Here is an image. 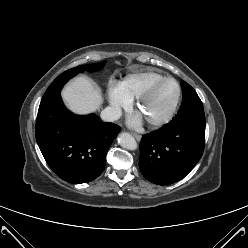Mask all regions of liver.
<instances>
[{
    "mask_svg": "<svg viewBox=\"0 0 248 248\" xmlns=\"http://www.w3.org/2000/svg\"><path fill=\"white\" fill-rule=\"evenodd\" d=\"M62 97L67 107L77 114H87L99 109L102 103L100 90L85 77H77L68 83Z\"/></svg>",
    "mask_w": 248,
    "mask_h": 248,
    "instance_id": "liver-1",
    "label": "liver"
}]
</instances>
